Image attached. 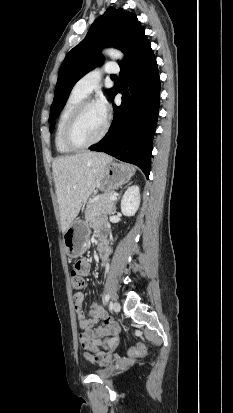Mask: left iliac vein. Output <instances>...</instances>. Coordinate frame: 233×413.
I'll list each match as a JSON object with an SVG mask.
<instances>
[{"label":"left iliac vein","instance_id":"left-iliac-vein-1","mask_svg":"<svg viewBox=\"0 0 233 413\" xmlns=\"http://www.w3.org/2000/svg\"><path fill=\"white\" fill-rule=\"evenodd\" d=\"M112 308L115 312H119L120 309H121V306H120L119 302L114 301V302H112Z\"/></svg>","mask_w":233,"mask_h":413}]
</instances>
